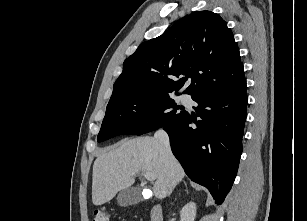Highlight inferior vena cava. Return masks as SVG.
Segmentation results:
<instances>
[{"mask_svg": "<svg viewBox=\"0 0 307 221\" xmlns=\"http://www.w3.org/2000/svg\"><path fill=\"white\" fill-rule=\"evenodd\" d=\"M154 137L165 147L169 155L172 156L169 137L164 130H159L155 133ZM176 186V180L172 179L169 186V194L172 192L173 188Z\"/></svg>", "mask_w": 307, "mask_h": 221, "instance_id": "1", "label": "inferior vena cava"}]
</instances>
